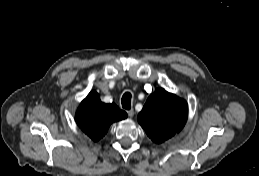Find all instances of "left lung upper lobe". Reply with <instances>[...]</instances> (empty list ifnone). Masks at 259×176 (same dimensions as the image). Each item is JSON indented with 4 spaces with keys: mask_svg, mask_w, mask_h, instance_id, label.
I'll use <instances>...</instances> for the list:
<instances>
[{
    "mask_svg": "<svg viewBox=\"0 0 259 176\" xmlns=\"http://www.w3.org/2000/svg\"><path fill=\"white\" fill-rule=\"evenodd\" d=\"M188 116L187 102L163 88L149 96L138 121L155 143H162L178 133Z\"/></svg>",
    "mask_w": 259,
    "mask_h": 176,
    "instance_id": "1",
    "label": "left lung upper lobe"
}]
</instances>
